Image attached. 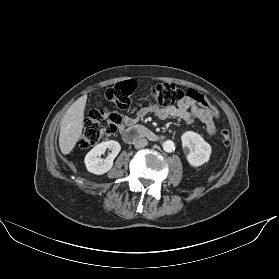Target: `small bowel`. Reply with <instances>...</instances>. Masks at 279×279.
<instances>
[{
  "mask_svg": "<svg viewBox=\"0 0 279 279\" xmlns=\"http://www.w3.org/2000/svg\"><path fill=\"white\" fill-rule=\"evenodd\" d=\"M148 112L153 113L157 118L165 120L168 118H180L189 124L200 120L206 126L207 133L213 136L216 132V127L213 121L214 116L204 107L199 106L189 96L182 98L175 106L159 107L151 105L148 108H143L138 111L135 118L125 116L122 120L120 128L132 126L137 120L143 118Z\"/></svg>",
  "mask_w": 279,
  "mask_h": 279,
  "instance_id": "c3829d8e",
  "label": "small bowel"
}]
</instances>
